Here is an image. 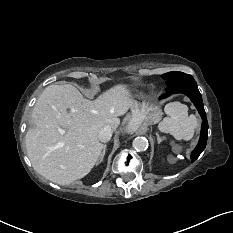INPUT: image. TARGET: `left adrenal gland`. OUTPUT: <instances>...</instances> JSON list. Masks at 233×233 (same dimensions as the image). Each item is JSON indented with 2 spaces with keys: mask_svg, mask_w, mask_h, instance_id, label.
I'll list each match as a JSON object with an SVG mask.
<instances>
[{
  "mask_svg": "<svg viewBox=\"0 0 233 233\" xmlns=\"http://www.w3.org/2000/svg\"><path fill=\"white\" fill-rule=\"evenodd\" d=\"M158 141H161V137L157 134Z\"/></svg>",
  "mask_w": 233,
  "mask_h": 233,
  "instance_id": "left-adrenal-gland-1",
  "label": "left adrenal gland"
}]
</instances>
